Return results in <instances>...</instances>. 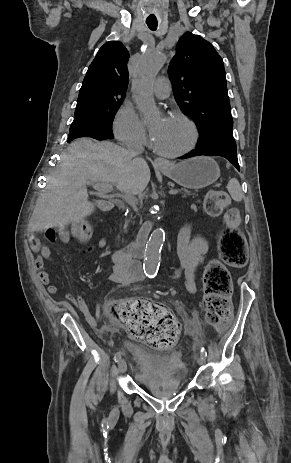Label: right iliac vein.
Here are the masks:
<instances>
[{
	"label": "right iliac vein",
	"instance_id": "right-iliac-vein-1",
	"mask_svg": "<svg viewBox=\"0 0 291 463\" xmlns=\"http://www.w3.org/2000/svg\"><path fill=\"white\" fill-rule=\"evenodd\" d=\"M118 371L120 374H124L127 371V364L124 359L118 361Z\"/></svg>",
	"mask_w": 291,
	"mask_h": 463
}]
</instances>
